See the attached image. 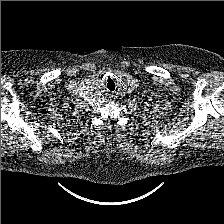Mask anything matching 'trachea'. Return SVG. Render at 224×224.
Returning a JSON list of instances; mask_svg holds the SVG:
<instances>
[{"label":"trachea","instance_id":"trachea-1","mask_svg":"<svg viewBox=\"0 0 224 224\" xmlns=\"http://www.w3.org/2000/svg\"><path fill=\"white\" fill-rule=\"evenodd\" d=\"M115 87H116V85L112 79L110 81H108V83L106 84V88L110 92L114 91Z\"/></svg>","mask_w":224,"mask_h":224}]
</instances>
